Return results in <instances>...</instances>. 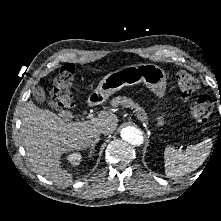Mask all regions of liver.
<instances>
[{
	"instance_id": "1",
	"label": "liver",
	"mask_w": 221,
	"mask_h": 221,
	"mask_svg": "<svg viewBox=\"0 0 221 221\" xmlns=\"http://www.w3.org/2000/svg\"><path fill=\"white\" fill-rule=\"evenodd\" d=\"M117 125L118 117L114 113L102 111L90 121L68 122L29 101L22 111L20 131L26 156L34 170L55 183L66 184L72 175L60 167L62 154L87 148L95 139L94 130L102 128L105 135H109Z\"/></svg>"
}]
</instances>
